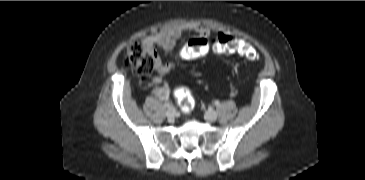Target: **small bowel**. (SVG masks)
<instances>
[{
  "mask_svg": "<svg viewBox=\"0 0 365 180\" xmlns=\"http://www.w3.org/2000/svg\"><path fill=\"white\" fill-rule=\"evenodd\" d=\"M187 32L195 34V38H206L209 36V29L206 26L199 23H194L166 28L146 37L143 40V43L154 51L156 48L162 49L164 51H170L175 47L177 40ZM155 54L157 58V64L155 67L157 75L149 80V84L153 87V91L156 96L165 99L168 97L170 89L169 86L162 81L161 76L174 72L176 69V64L163 63L157 56L156 52Z\"/></svg>",
  "mask_w": 365,
  "mask_h": 180,
  "instance_id": "1",
  "label": "small bowel"
}]
</instances>
